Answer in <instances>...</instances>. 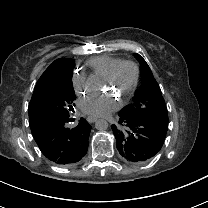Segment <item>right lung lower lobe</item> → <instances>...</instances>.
<instances>
[{
	"instance_id": "1",
	"label": "right lung lower lobe",
	"mask_w": 208,
	"mask_h": 208,
	"mask_svg": "<svg viewBox=\"0 0 208 208\" xmlns=\"http://www.w3.org/2000/svg\"><path fill=\"white\" fill-rule=\"evenodd\" d=\"M69 116L30 120L33 137L41 152L53 163L70 165L80 161L88 150L91 126L84 119L75 128H67Z\"/></svg>"
}]
</instances>
